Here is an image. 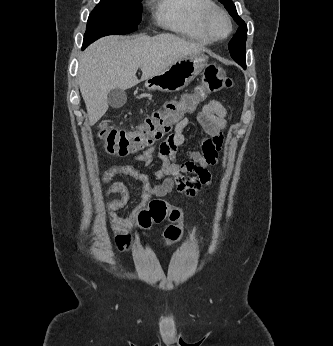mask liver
Here are the masks:
<instances>
[{
	"mask_svg": "<svg viewBox=\"0 0 333 346\" xmlns=\"http://www.w3.org/2000/svg\"><path fill=\"white\" fill-rule=\"evenodd\" d=\"M204 47L172 34L150 37L107 36L90 45L79 60V87L90 125L97 123L108 110L107 95L157 75L176 61ZM138 68L141 80L136 77Z\"/></svg>",
	"mask_w": 333,
	"mask_h": 346,
	"instance_id": "6515ba94",
	"label": "liver"
}]
</instances>
